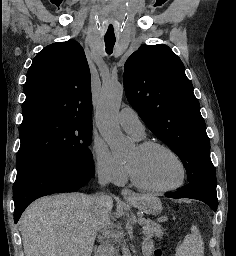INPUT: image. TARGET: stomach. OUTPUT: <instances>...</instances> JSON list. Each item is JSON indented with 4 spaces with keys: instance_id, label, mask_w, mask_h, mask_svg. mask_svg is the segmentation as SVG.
Here are the masks:
<instances>
[{
    "instance_id": "1",
    "label": "stomach",
    "mask_w": 236,
    "mask_h": 256,
    "mask_svg": "<svg viewBox=\"0 0 236 256\" xmlns=\"http://www.w3.org/2000/svg\"><path fill=\"white\" fill-rule=\"evenodd\" d=\"M133 206L146 214L158 215L162 211V203L156 197L143 196L135 201H129Z\"/></svg>"
}]
</instances>
